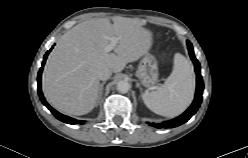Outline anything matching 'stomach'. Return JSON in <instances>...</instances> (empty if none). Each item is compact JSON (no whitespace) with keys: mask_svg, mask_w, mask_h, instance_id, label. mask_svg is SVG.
Instances as JSON below:
<instances>
[{"mask_svg":"<svg viewBox=\"0 0 248 158\" xmlns=\"http://www.w3.org/2000/svg\"><path fill=\"white\" fill-rule=\"evenodd\" d=\"M141 84L147 88L153 87L158 82V62L156 58L147 53L141 59L136 72Z\"/></svg>","mask_w":248,"mask_h":158,"instance_id":"stomach-1","label":"stomach"}]
</instances>
